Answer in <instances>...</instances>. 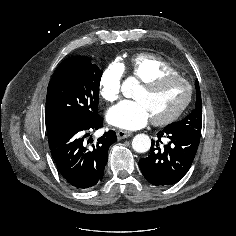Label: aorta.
Masks as SVG:
<instances>
[{
    "label": "aorta",
    "instance_id": "aorta-1",
    "mask_svg": "<svg viewBox=\"0 0 236 236\" xmlns=\"http://www.w3.org/2000/svg\"><path fill=\"white\" fill-rule=\"evenodd\" d=\"M132 147L138 153L147 152L151 147V139L146 134H137L132 140Z\"/></svg>",
    "mask_w": 236,
    "mask_h": 236
}]
</instances>
